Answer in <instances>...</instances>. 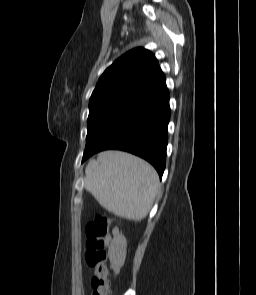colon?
<instances>
[{"instance_id":"obj_1","label":"colon","mask_w":256,"mask_h":295,"mask_svg":"<svg viewBox=\"0 0 256 295\" xmlns=\"http://www.w3.org/2000/svg\"><path fill=\"white\" fill-rule=\"evenodd\" d=\"M111 223V217L105 214H96L85 227L86 261L89 266L94 268V276L91 281L92 295H111L106 242Z\"/></svg>"}]
</instances>
